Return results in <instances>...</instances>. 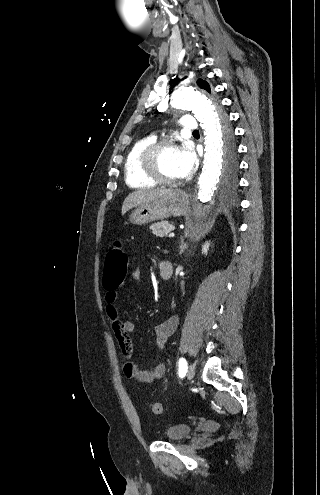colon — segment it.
<instances>
[{"mask_svg": "<svg viewBox=\"0 0 320 495\" xmlns=\"http://www.w3.org/2000/svg\"><path fill=\"white\" fill-rule=\"evenodd\" d=\"M127 267L128 255L120 243H115L106 254L103 269L104 286L112 289L121 284L126 275ZM150 409L156 415L163 413V406L159 402L151 403Z\"/></svg>", "mask_w": 320, "mask_h": 495, "instance_id": "5ec220e1", "label": "colon"}]
</instances>
